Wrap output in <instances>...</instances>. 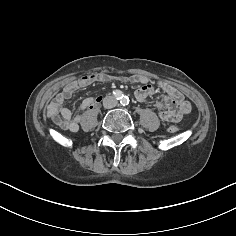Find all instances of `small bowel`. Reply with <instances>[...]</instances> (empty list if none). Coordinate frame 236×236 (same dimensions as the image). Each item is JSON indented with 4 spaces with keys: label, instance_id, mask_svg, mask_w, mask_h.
Segmentation results:
<instances>
[{
    "label": "small bowel",
    "instance_id": "1",
    "mask_svg": "<svg viewBox=\"0 0 236 236\" xmlns=\"http://www.w3.org/2000/svg\"><path fill=\"white\" fill-rule=\"evenodd\" d=\"M113 79L141 84L135 91V97L139 102H144L146 98L154 92L148 77L144 75L136 74L128 77H114L105 73L89 74L69 82L57 93L48 105L47 118L52 124L62 130L70 132L76 131L82 112L99 106L103 97L95 96L84 99L79 111L75 115H73L68 108L63 106L64 102L71 98V96L81 88L87 87L95 82H105ZM159 86L166 93V96L156 103L161 120L166 122H177L183 116L190 113V103L184 99L183 95L175 87L165 82H160Z\"/></svg>",
    "mask_w": 236,
    "mask_h": 236
}]
</instances>
